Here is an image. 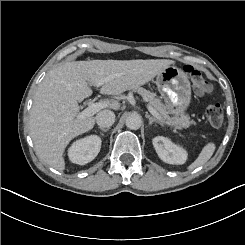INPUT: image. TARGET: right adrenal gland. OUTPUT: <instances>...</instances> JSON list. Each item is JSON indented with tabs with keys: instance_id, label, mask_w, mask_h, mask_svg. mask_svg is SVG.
Here are the masks:
<instances>
[{
	"instance_id": "right-adrenal-gland-1",
	"label": "right adrenal gland",
	"mask_w": 245,
	"mask_h": 245,
	"mask_svg": "<svg viewBox=\"0 0 245 245\" xmlns=\"http://www.w3.org/2000/svg\"><path fill=\"white\" fill-rule=\"evenodd\" d=\"M99 129L103 132H107L109 130V128H102V127H99Z\"/></svg>"
}]
</instances>
